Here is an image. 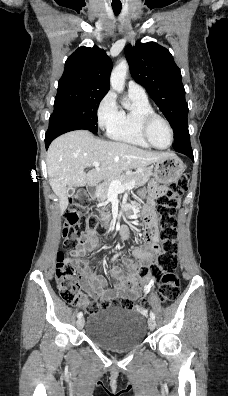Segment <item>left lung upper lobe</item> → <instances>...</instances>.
<instances>
[{
	"mask_svg": "<svg viewBox=\"0 0 228 396\" xmlns=\"http://www.w3.org/2000/svg\"><path fill=\"white\" fill-rule=\"evenodd\" d=\"M125 55L132 77L160 108L176 138L177 133L187 126L188 105L181 72L173 56L155 42H137L135 47L127 45Z\"/></svg>",
	"mask_w": 228,
	"mask_h": 396,
	"instance_id": "5c2ea615",
	"label": "left lung upper lobe"
}]
</instances>
